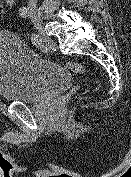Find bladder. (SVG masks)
Listing matches in <instances>:
<instances>
[{
	"label": "bladder",
	"mask_w": 131,
	"mask_h": 177,
	"mask_svg": "<svg viewBox=\"0 0 131 177\" xmlns=\"http://www.w3.org/2000/svg\"><path fill=\"white\" fill-rule=\"evenodd\" d=\"M73 82L63 66L26 47L13 31L0 32V98L34 103L60 94Z\"/></svg>",
	"instance_id": "obj_1"
}]
</instances>
